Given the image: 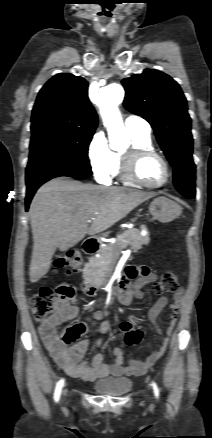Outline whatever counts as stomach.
I'll list each match as a JSON object with an SVG mask.
<instances>
[{
	"instance_id": "0dacf381",
	"label": "stomach",
	"mask_w": 212,
	"mask_h": 438,
	"mask_svg": "<svg viewBox=\"0 0 212 438\" xmlns=\"http://www.w3.org/2000/svg\"><path fill=\"white\" fill-rule=\"evenodd\" d=\"M149 211L153 219L161 223H168L181 214V207L169 198L158 197L151 202Z\"/></svg>"
}]
</instances>
